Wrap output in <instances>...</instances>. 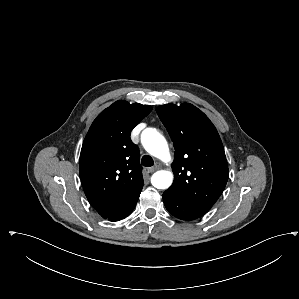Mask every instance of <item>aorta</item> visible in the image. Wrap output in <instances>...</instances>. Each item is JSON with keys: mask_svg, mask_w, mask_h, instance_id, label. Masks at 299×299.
<instances>
[{"mask_svg": "<svg viewBox=\"0 0 299 299\" xmlns=\"http://www.w3.org/2000/svg\"><path fill=\"white\" fill-rule=\"evenodd\" d=\"M141 142L145 150L163 161L170 160L169 148L165 138L153 128H146L141 134ZM173 182L171 171H157L152 175L151 183L157 189H167Z\"/></svg>", "mask_w": 299, "mask_h": 299, "instance_id": "1", "label": "aorta"}]
</instances>
